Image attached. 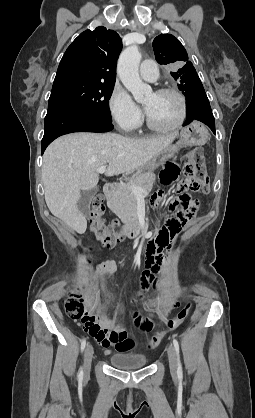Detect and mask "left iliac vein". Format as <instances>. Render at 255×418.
Wrapping results in <instances>:
<instances>
[{"label": "left iliac vein", "instance_id": "left-iliac-vein-1", "mask_svg": "<svg viewBox=\"0 0 255 418\" xmlns=\"http://www.w3.org/2000/svg\"><path fill=\"white\" fill-rule=\"evenodd\" d=\"M167 353H168V359H169L170 372L172 375L175 376L177 373V362H176L175 349L172 346V344L168 346Z\"/></svg>", "mask_w": 255, "mask_h": 418}]
</instances>
